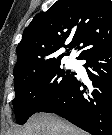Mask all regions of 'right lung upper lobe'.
Instances as JSON below:
<instances>
[{
    "label": "right lung upper lobe",
    "instance_id": "1",
    "mask_svg": "<svg viewBox=\"0 0 112 135\" xmlns=\"http://www.w3.org/2000/svg\"><path fill=\"white\" fill-rule=\"evenodd\" d=\"M69 42L65 45V42ZM112 45V1L58 0L46 12L37 14L24 30L17 47L14 77L34 73L49 63L61 61L77 47V59Z\"/></svg>",
    "mask_w": 112,
    "mask_h": 135
}]
</instances>
